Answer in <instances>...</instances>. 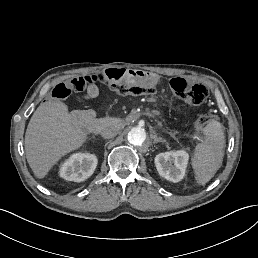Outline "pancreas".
<instances>
[{
  "label": "pancreas",
  "instance_id": "obj_1",
  "mask_svg": "<svg viewBox=\"0 0 258 258\" xmlns=\"http://www.w3.org/2000/svg\"><path fill=\"white\" fill-rule=\"evenodd\" d=\"M136 118H140V119L143 118L145 120L153 119L156 122L157 125H162L163 124V119L161 118L160 114L157 113V112H154V111L151 112L149 110L148 111L134 110V111L130 112L129 114H127L125 116V118H123L121 116L118 117L116 122H117L118 125L121 126V125L124 124L125 121L129 123ZM97 122L106 123V120L105 119H100V120H97ZM169 134L171 136H175V134H177V131H171V132H169Z\"/></svg>",
  "mask_w": 258,
  "mask_h": 258
}]
</instances>
